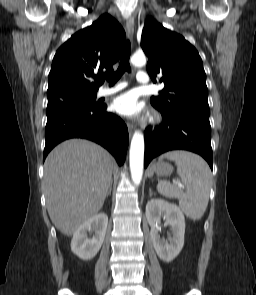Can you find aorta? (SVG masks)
<instances>
[{"instance_id": "1", "label": "aorta", "mask_w": 256, "mask_h": 295, "mask_svg": "<svg viewBox=\"0 0 256 295\" xmlns=\"http://www.w3.org/2000/svg\"><path fill=\"white\" fill-rule=\"evenodd\" d=\"M134 66L142 67L146 64V57L143 53H135L131 57ZM130 171L135 185H139L143 175L144 164V137L139 131H135L130 146Z\"/></svg>"}]
</instances>
